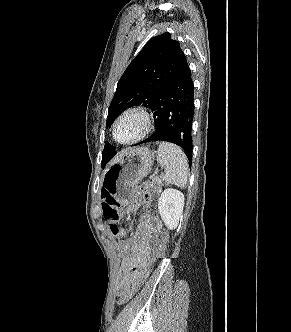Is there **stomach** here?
Segmentation results:
<instances>
[{
    "label": "stomach",
    "instance_id": "1",
    "mask_svg": "<svg viewBox=\"0 0 291 332\" xmlns=\"http://www.w3.org/2000/svg\"><path fill=\"white\" fill-rule=\"evenodd\" d=\"M153 154L147 148L126 152L104 173L103 188L121 204L133 209L138 204L137 184L151 171Z\"/></svg>",
    "mask_w": 291,
    "mask_h": 332
}]
</instances>
